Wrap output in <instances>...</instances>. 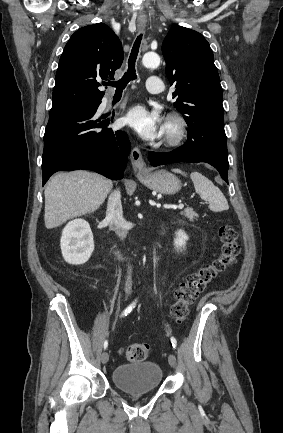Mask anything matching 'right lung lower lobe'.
<instances>
[{
    "label": "right lung lower lobe",
    "instance_id": "obj_1",
    "mask_svg": "<svg viewBox=\"0 0 283 433\" xmlns=\"http://www.w3.org/2000/svg\"><path fill=\"white\" fill-rule=\"evenodd\" d=\"M100 103L50 114L44 135L42 185L57 171L85 169L113 180L124 177L131 144L125 132L107 128L109 119L95 116Z\"/></svg>",
    "mask_w": 283,
    "mask_h": 433
}]
</instances>
